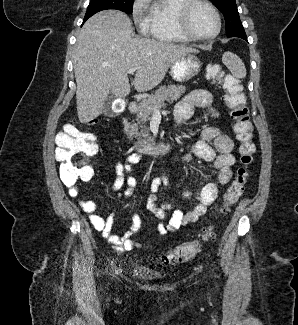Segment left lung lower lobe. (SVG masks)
Listing matches in <instances>:
<instances>
[{"label": "left lung lower lobe", "mask_w": 298, "mask_h": 325, "mask_svg": "<svg viewBox=\"0 0 298 325\" xmlns=\"http://www.w3.org/2000/svg\"><path fill=\"white\" fill-rule=\"evenodd\" d=\"M237 37H240V38H242V39H244V40H247V37H246V34L244 33V34H240L239 36H237Z\"/></svg>", "instance_id": "1"}]
</instances>
